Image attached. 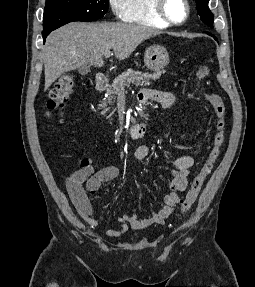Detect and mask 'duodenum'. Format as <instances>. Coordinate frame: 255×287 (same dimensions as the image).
<instances>
[{"label": "duodenum", "mask_w": 255, "mask_h": 287, "mask_svg": "<svg viewBox=\"0 0 255 287\" xmlns=\"http://www.w3.org/2000/svg\"><path fill=\"white\" fill-rule=\"evenodd\" d=\"M108 87V81L104 78H96L95 89L98 92H103ZM149 98H151L150 92L143 91L138 95L140 102L145 103ZM148 122L147 120L136 123L125 131V135L129 138L136 139L143 137L147 131Z\"/></svg>", "instance_id": "410a0bca"}]
</instances>
